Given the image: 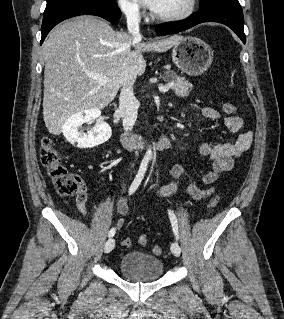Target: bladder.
I'll list each match as a JSON object with an SVG mask.
<instances>
[{"label": "bladder", "instance_id": "1", "mask_svg": "<svg viewBox=\"0 0 284 319\" xmlns=\"http://www.w3.org/2000/svg\"><path fill=\"white\" fill-rule=\"evenodd\" d=\"M120 273L133 282H151L163 273V263L156 256L139 252H126L119 261Z\"/></svg>", "mask_w": 284, "mask_h": 319}]
</instances>
